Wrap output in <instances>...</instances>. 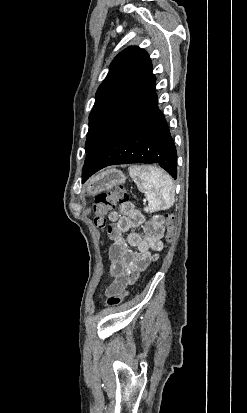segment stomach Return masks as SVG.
I'll list each match as a JSON object with an SVG mask.
<instances>
[{
	"label": "stomach",
	"mask_w": 247,
	"mask_h": 413,
	"mask_svg": "<svg viewBox=\"0 0 247 413\" xmlns=\"http://www.w3.org/2000/svg\"><path fill=\"white\" fill-rule=\"evenodd\" d=\"M126 178L127 176H125L122 170L106 168V170H101L99 174L89 178L86 184V192L91 194V196H95V194L102 192V190H111L117 184H125Z\"/></svg>",
	"instance_id": "obj_1"
}]
</instances>
